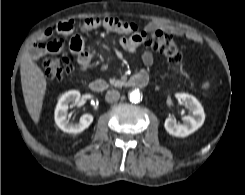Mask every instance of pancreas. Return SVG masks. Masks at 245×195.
Instances as JSON below:
<instances>
[{
  "instance_id": "1",
  "label": "pancreas",
  "mask_w": 245,
  "mask_h": 195,
  "mask_svg": "<svg viewBox=\"0 0 245 195\" xmlns=\"http://www.w3.org/2000/svg\"><path fill=\"white\" fill-rule=\"evenodd\" d=\"M109 82H110V84L112 86H115V87L120 86L123 83V81H120V80H117V79H114V78H110Z\"/></svg>"
}]
</instances>
